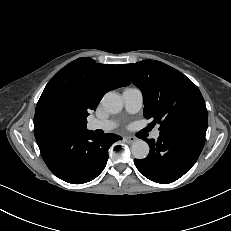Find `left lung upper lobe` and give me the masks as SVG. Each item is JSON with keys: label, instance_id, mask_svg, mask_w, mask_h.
Instances as JSON below:
<instances>
[{"label": "left lung upper lobe", "instance_id": "obj_1", "mask_svg": "<svg viewBox=\"0 0 231 231\" xmlns=\"http://www.w3.org/2000/svg\"><path fill=\"white\" fill-rule=\"evenodd\" d=\"M119 69L143 93L144 116L160 132L191 128L206 131L208 112L198 87L178 70L155 60L121 64Z\"/></svg>", "mask_w": 231, "mask_h": 231}]
</instances>
